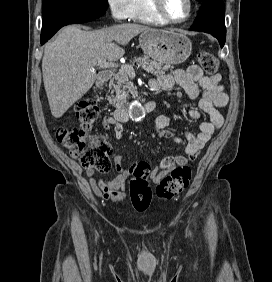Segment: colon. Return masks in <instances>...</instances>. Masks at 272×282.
Here are the masks:
<instances>
[{"label":"colon","instance_id":"colon-1","mask_svg":"<svg viewBox=\"0 0 272 282\" xmlns=\"http://www.w3.org/2000/svg\"><path fill=\"white\" fill-rule=\"evenodd\" d=\"M198 62L209 74H215L218 70L217 59L208 52H200ZM74 113L79 125L57 129V141L85 169L108 172L111 168L109 160L111 146L103 137L90 135V130L96 124L99 115L97 104L90 99L81 100L74 105ZM146 171L145 166L131 169L130 198L133 207L138 211H145L152 203V190L145 181ZM190 181L191 169L186 166L176 167L156 186V198L159 201L171 200L181 194L189 186Z\"/></svg>","mask_w":272,"mask_h":282}]
</instances>
